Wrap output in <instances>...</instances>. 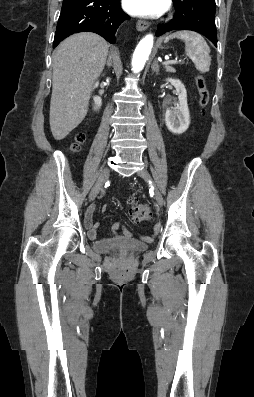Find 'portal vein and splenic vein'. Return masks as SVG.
<instances>
[{"label": "portal vein and splenic vein", "instance_id": "18ae733b", "mask_svg": "<svg viewBox=\"0 0 254 397\" xmlns=\"http://www.w3.org/2000/svg\"><path fill=\"white\" fill-rule=\"evenodd\" d=\"M176 63H181V61L179 60V61H175V60H170V61H165L164 63H163V65H172V64H176Z\"/></svg>", "mask_w": 254, "mask_h": 397}]
</instances>
